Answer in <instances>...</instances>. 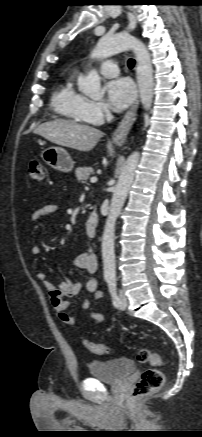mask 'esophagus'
Returning <instances> with one entry per match:
<instances>
[{
    "label": "esophagus",
    "mask_w": 202,
    "mask_h": 437,
    "mask_svg": "<svg viewBox=\"0 0 202 437\" xmlns=\"http://www.w3.org/2000/svg\"><path fill=\"white\" fill-rule=\"evenodd\" d=\"M138 107L139 94L137 95L136 100L134 101L130 109L126 112L118 127L113 133L112 140L115 144L122 145L125 142L127 135L136 119Z\"/></svg>",
    "instance_id": "1"
}]
</instances>
